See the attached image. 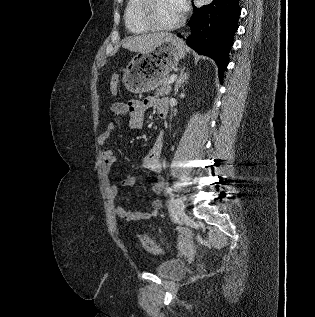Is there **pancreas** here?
<instances>
[{
    "label": "pancreas",
    "instance_id": "pancreas-1",
    "mask_svg": "<svg viewBox=\"0 0 315 317\" xmlns=\"http://www.w3.org/2000/svg\"><path fill=\"white\" fill-rule=\"evenodd\" d=\"M170 78L167 76L163 81V85L156 89L155 95L156 97H162L165 95H169L171 91V85L169 83Z\"/></svg>",
    "mask_w": 315,
    "mask_h": 317
}]
</instances>
